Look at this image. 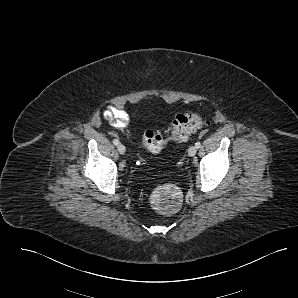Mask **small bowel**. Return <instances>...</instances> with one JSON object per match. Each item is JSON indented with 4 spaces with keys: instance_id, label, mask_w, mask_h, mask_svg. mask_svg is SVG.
<instances>
[{
    "instance_id": "1",
    "label": "small bowel",
    "mask_w": 298,
    "mask_h": 298,
    "mask_svg": "<svg viewBox=\"0 0 298 298\" xmlns=\"http://www.w3.org/2000/svg\"><path fill=\"white\" fill-rule=\"evenodd\" d=\"M103 117L113 127L125 129L128 126L131 116L121 108L110 106L103 114Z\"/></svg>"
}]
</instances>
